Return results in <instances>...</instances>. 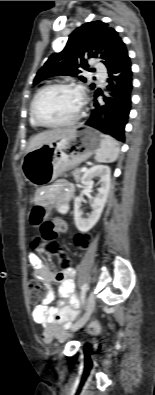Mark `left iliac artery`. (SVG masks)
<instances>
[{
	"label": "left iliac artery",
	"mask_w": 155,
	"mask_h": 395,
	"mask_svg": "<svg viewBox=\"0 0 155 395\" xmlns=\"http://www.w3.org/2000/svg\"><path fill=\"white\" fill-rule=\"evenodd\" d=\"M81 289H82V291H81V301H82V304H84L85 297H86V292L88 290V285L84 284Z\"/></svg>",
	"instance_id": "1"
}]
</instances>
